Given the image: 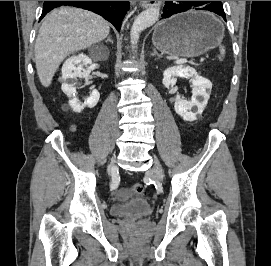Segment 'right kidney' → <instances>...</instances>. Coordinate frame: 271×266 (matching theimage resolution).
Segmentation results:
<instances>
[{
    "label": "right kidney",
    "mask_w": 271,
    "mask_h": 266,
    "mask_svg": "<svg viewBox=\"0 0 271 266\" xmlns=\"http://www.w3.org/2000/svg\"><path fill=\"white\" fill-rule=\"evenodd\" d=\"M92 63L91 58L85 54H79L68 58L62 66V91L70 98L69 105L74 112L80 113L85 107L93 108L99 101L100 94L97 90H93L90 96L81 103L75 97L76 88L74 81L77 77L85 78L88 82L90 71L88 65ZM86 67V69L84 68Z\"/></svg>",
    "instance_id": "obj_1"
}]
</instances>
